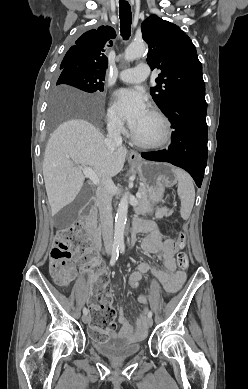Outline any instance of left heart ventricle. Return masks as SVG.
<instances>
[{
  "mask_svg": "<svg viewBox=\"0 0 248 389\" xmlns=\"http://www.w3.org/2000/svg\"><path fill=\"white\" fill-rule=\"evenodd\" d=\"M132 131L142 140L155 141L161 137L163 129L160 121L148 111Z\"/></svg>",
  "mask_w": 248,
  "mask_h": 389,
  "instance_id": "b2bd125f",
  "label": "left heart ventricle"
}]
</instances>
